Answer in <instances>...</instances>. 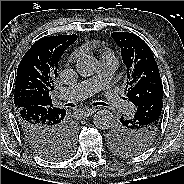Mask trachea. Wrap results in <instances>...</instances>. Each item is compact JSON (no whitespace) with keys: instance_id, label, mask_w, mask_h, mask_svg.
<instances>
[{"instance_id":"trachea-1","label":"trachea","mask_w":184,"mask_h":184,"mask_svg":"<svg viewBox=\"0 0 184 184\" xmlns=\"http://www.w3.org/2000/svg\"><path fill=\"white\" fill-rule=\"evenodd\" d=\"M95 105L109 106L108 104H106L104 102H96Z\"/></svg>"}]
</instances>
